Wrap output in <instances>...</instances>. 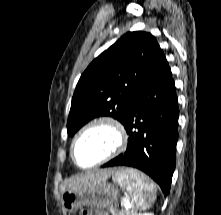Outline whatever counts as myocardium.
Wrapping results in <instances>:
<instances>
[{
  "label": "myocardium",
  "instance_id": "f54148a6",
  "mask_svg": "<svg viewBox=\"0 0 221 215\" xmlns=\"http://www.w3.org/2000/svg\"><path fill=\"white\" fill-rule=\"evenodd\" d=\"M98 127L105 128L113 134L114 145L112 149L98 161L88 166H82L76 160L75 153H74L75 145L82 135H84L89 130L93 128H98ZM127 139H128L127 131L121 121H119L118 119L112 116H100V117L90 120L76 132V134L74 135L71 141L70 156H71L73 163L77 167L81 169H91V168L100 166L108 162L109 160L115 158L120 153H122L127 145Z\"/></svg>",
  "mask_w": 221,
  "mask_h": 215
}]
</instances>
